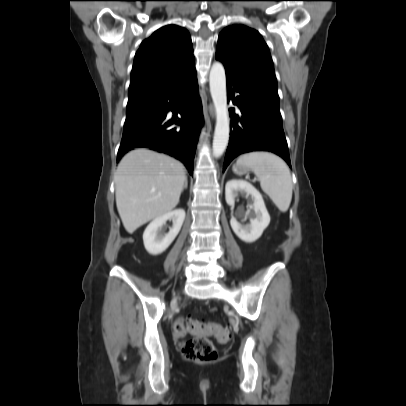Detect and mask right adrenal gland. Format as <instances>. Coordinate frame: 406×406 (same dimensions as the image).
Listing matches in <instances>:
<instances>
[{"instance_id": "right-adrenal-gland-1", "label": "right adrenal gland", "mask_w": 406, "mask_h": 406, "mask_svg": "<svg viewBox=\"0 0 406 406\" xmlns=\"http://www.w3.org/2000/svg\"><path fill=\"white\" fill-rule=\"evenodd\" d=\"M187 187H188V180H187V177H186V178H185V182H184L183 189H187Z\"/></svg>"}]
</instances>
